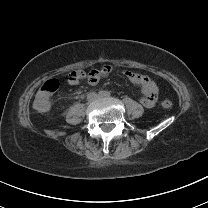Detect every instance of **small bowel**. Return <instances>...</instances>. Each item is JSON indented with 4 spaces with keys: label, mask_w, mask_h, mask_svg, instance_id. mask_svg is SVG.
<instances>
[{
    "label": "small bowel",
    "mask_w": 208,
    "mask_h": 208,
    "mask_svg": "<svg viewBox=\"0 0 208 208\" xmlns=\"http://www.w3.org/2000/svg\"><path fill=\"white\" fill-rule=\"evenodd\" d=\"M112 71V64H107L106 67L101 70L89 71V83L96 84L101 77L106 76L109 72ZM123 73L127 78L138 83L142 87L143 94L140 98V102L147 108L154 106L157 101L158 90L152 79L148 75L130 70H125Z\"/></svg>",
    "instance_id": "obj_1"
}]
</instances>
